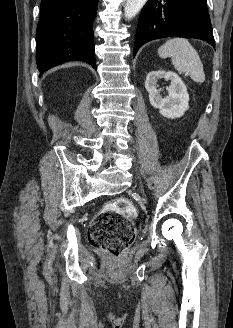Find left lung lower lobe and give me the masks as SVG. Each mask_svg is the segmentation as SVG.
I'll return each mask as SVG.
<instances>
[{"mask_svg": "<svg viewBox=\"0 0 233 328\" xmlns=\"http://www.w3.org/2000/svg\"><path fill=\"white\" fill-rule=\"evenodd\" d=\"M171 36L198 38L215 47L206 0H148L139 17L133 57L144 43Z\"/></svg>", "mask_w": 233, "mask_h": 328, "instance_id": "obj_1", "label": "left lung lower lobe"}]
</instances>
